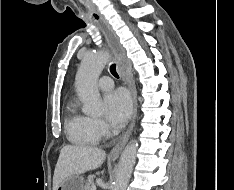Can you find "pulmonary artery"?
Returning a JSON list of instances; mask_svg holds the SVG:
<instances>
[{"instance_id": "e3ab8cb5", "label": "pulmonary artery", "mask_w": 234, "mask_h": 190, "mask_svg": "<svg viewBox=\"0 0 234 190\" xmlns=\"http://www.w3.org/2000/svg\"><path fill=\"white\" fill-rule=\"evenodd\" d=\"M98 86L101 90H110L113 87L112 79L108 76H103L99 79Z\"/></svg>"}]
</instances>
